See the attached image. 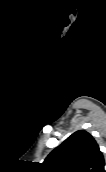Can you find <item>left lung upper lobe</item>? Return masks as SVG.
<instances>
[{"label":"left lung upper lobe","instance_id":"left-lung-upper-lobe-1","mask_svg":"<svg viewBox=\"0 0 106 172\" xmlns=\"http://www.w3.org/2000/svg\"><path fill=\"white\" fill-rule=\"evenodd\" d=\"M43 168L47 172H105V163L94 138L79 130L47 156Z\"/></svg>","mask_w":106,"mask_h":172}]
</instances>
